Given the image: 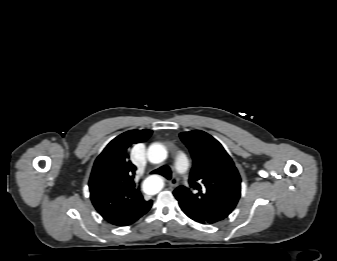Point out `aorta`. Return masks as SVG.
I'll use <instances>...</instances> for the list:
<instances>
[{"mask_svg": "<svg viewBox=\"0 0 337 261\" xmlns=\"http://www.w3.org/2000/svg\"><path fill=\"white\" fill-rule=\"evenodd\" d=\"M148 160L151 163L158 164L167 158V150L160 143H153L149 146L147 151ZM163 187V182L158 176H150L143 183V190L147 194H156Z\"/></svg>", "mask_w": 337, "mask_h": 261, "instance_id": "aorta-1", "label": "aorta"}]
</instances>
